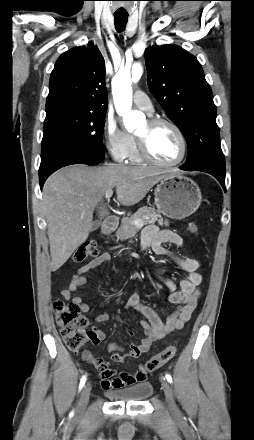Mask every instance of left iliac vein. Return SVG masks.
Returning a JSON list of instances; mask_svg holds the SVG:
<instances>
[{"instance_id": "obj_1", "label": "left iliac vein", "mask_w": 254, "mask_h": 440, "mask_svg": "<svg viewBox=\"0 0 254 440\" xmlns=\"http://www.w3.org/2000/svg\"><path fill=\"white\" fill-rule=\"evenodd\" d=\"M161 382H162V387H163L165 396L167 398L170 410L173 413H178L179 410H178V408H177V406H176V404H175V402L173 400V390H172L171 385L166 380H163V379H162Z\"/></svg>"}]
</instances>
